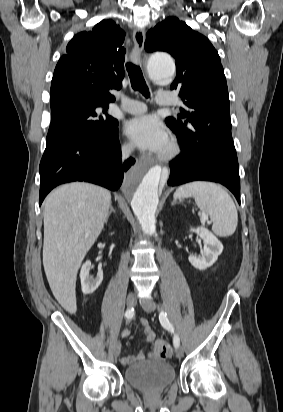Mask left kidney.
I'll return each mask as SVG.
<instances>
[{
  "label": "left kidney",
  "instance_id": "1",
  "mask_svg": "<svg viewBox=\"0 0 283 412\" xmlns=\"http://www.w3.org/2000/svg\"><path fill=\"white\" fill-rule=\"evenodd\" d=\"M190 231L201 237L204 247L203 254L201 256L190 255L189 262L196 269L205 270L217 261L218 256L223 251V245L215 235L204 227L191 228Z\"/></svg>",
  "mask_w": 283,
  "mask_h": 412
}]
</instances>
